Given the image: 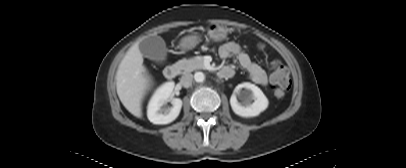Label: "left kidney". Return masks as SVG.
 Segmentation results:
<instances>
[{
	"label": "left kidney",
	"mask_w": 406,
	"mask_h": 168,
	"mask_svg": "<svg viewBox=\"0 0 406 168\" xmlns=\"http://www.w3.org/2000/svg\"><path fill=\"white\" fill-rule=\"evenodd\" d=\"M242 88L245 90L241 91ZM237 95L243 98V104L238 102ZM268 104V99L262 90L249 82L237 85L230 98V105L233 112L245 118L258 116L267 109Z\"/></svg>",
	"instance_id": "1"
}]
</instances>
